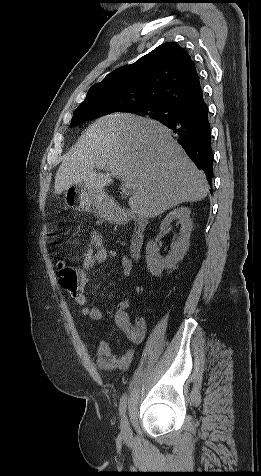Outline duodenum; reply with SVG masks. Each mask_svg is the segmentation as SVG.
Masks as SVG:
<instances>
[{"mask_svg":"<svg viewBox=\"0 0 261 476\" xmlns=\"http://www.w3.org/2000/svg\"><path fill=\"white\" fill-rule=\"evenodd\" d=\"M112 220L116 224L133 222L134 228L130 241V254L133 259L139 260L145 242V234L148 226L147 219L142 216H132L127 211L120 209L113 213Z\"/></svg>","mask_w":261,"mask_h":476,"instance_id":"duodenum-1","label":"duodenum"}]
</instances>
